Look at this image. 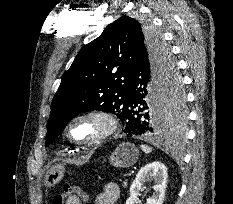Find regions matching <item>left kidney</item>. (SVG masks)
I'll use <instances>...</instances> for the list:
<instances>
[{"label":"left kidney","instance_id":"1","mask_svg":"<svg viewBox=\"0 0 233 204\" xmlns=\"http://www.w3.org/2000/svg\"><path fill=\"white\" fill-rule=\"evenodd\" d=\"M167 168L163 163L158 161L149 163L142 167L130 187V197L125 204H135L138 201V194L143 183L153 180L154 193L151 198L146 200V204H162L167 187Z\"/></svg>","mask_w":233,"mask_h":204}]
</instances>
